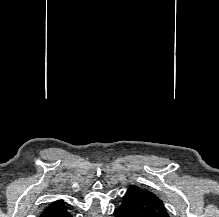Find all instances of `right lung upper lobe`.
Here are the masks:
<instances>
[{"instance_id":"1","label":"right lung upper lobe","mask_w":219,"mask_h":217,"mask_svg":"<svg viewBox=\"0 0 219 217\" xmlns=\"http://www.w3.org/2000/svg\"><path fill=\"white\" fill-rule=\"evenodd\" d=\"M65 202L63 200H57V201H54L52 203H50L44 210L43 212L41 213V216L42 217L43 215H46V214H51V213H55V212H58L62 209H66L67 207L65 206Z\"/></svg>"}]
</instances>
